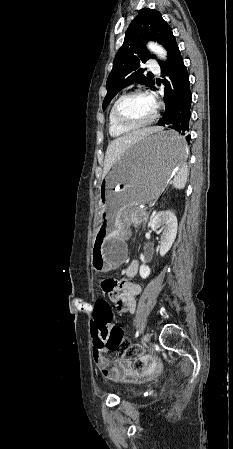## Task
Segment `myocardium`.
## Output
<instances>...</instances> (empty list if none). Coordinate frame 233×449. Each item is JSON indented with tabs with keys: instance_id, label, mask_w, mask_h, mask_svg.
<instances>
[{
	"instance_id": "myocardium-1",
	"label": "myocardium",
	"mask_w": 233,
	"mask_h": 449,
	"mask_svg": "<svg viewBox=\"0 0 233 449\" xmlns=\"http://www.w3.org/2000/svg\"><path fill=\"white\" fill-rule=\"evenodd\" d=\"M136 95H145V96H149V97L153 100V102H154V112H153L152 116H151L148 120H146V121H144V122H140V123H128V122L122 120V119L119 117V115H118V108H119L120 103H121L124 99H126V98H128V97H131V96H136ZM111 113H112V118H113L114 122H115L120 128H122V129H127V130L141 129V128H145V127L151 125V124L156 120V118H157V116H158V103H157V101L154 99V97H153L150 93H148L147 91H143V90H140V89L132 90V91H129V92H127V93L121 95V96L114 102V104H113V106H112Z\"/></svg>"
}]
</instances>
